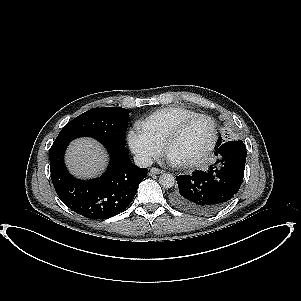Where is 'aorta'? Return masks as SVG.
I'll list each match as a JSON object with an SVG mask.
<instances>
[{"instance_id":"obj_1","label":"aorta","mask_w":301,"mask_h":301,"mask_svg":"<svg viewBox=\"0 0 301 301\" xmlns=\"http://www.w3.org/2000/svg\"><path fill=\"white\" fill-rule=\"evenodd\" d=\"M159 184L163 187V188H171L174 186L175 184V178L172 174L170 173H163L162 175H160L159 177Z\"/></svg>"}]
</instances>
